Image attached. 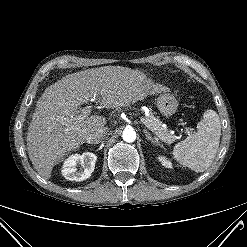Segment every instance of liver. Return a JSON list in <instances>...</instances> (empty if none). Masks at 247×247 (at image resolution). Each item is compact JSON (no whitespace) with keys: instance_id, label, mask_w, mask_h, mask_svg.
<instances>
[{"instance_id":"liver-1","label":"liver","mask_w":247,"mask_h":247,"mask_svg":"<svg viewBox=\"0 0 247 247\" xmlns=\"http://www.w3.org/2000/svg\"><path fill=\"white\" fill-rule=\"evenodd\" d=\"M138 70L107 66L69 74L45 89L27 133L28 155L36 171L51 177L54 165L80 147L106 119L92 115L76 121L79 107L93 98L104 108L126 107L167 91ZM94 94L96 96L94 97Z\"/></svg>"}]
</instances>
